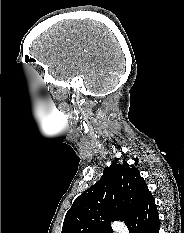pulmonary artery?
I'll return each instance as SVG.
<instances>
[{"mask_svg":"<svg viewBox=\"0 0 184 233\" xmlns=\"http://www.w3.org/2000/svg\"><path fill=\"white\" fill-rule=\"evenodd\" d=\"M115 231L117 233H128V229L126 228V226L123 223H117Z\"/></svg>","mask_w":184,"mask_h":233,"instance_id":"obj_1","label":"pulmonary artery"}]
</instances>
